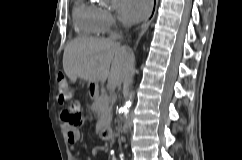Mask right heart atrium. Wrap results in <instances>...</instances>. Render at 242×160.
<instances>
[{
    "label": "right heart atrium",
    "instance_id": "obj_1",
    "mask_svg": "<svg viewBox=\"0 0 242 160\" xmlns=\"http://www.w3.org/2000/svg\"><path fill=\"white\" fill-rule=\"evenodd\" d=\"M101 18L104 31L110 32L115 26L114 16L108 10H101Z\"/></svg>",
    "mask_w": 242,
    "mask_h": 160
}]
</instances>
